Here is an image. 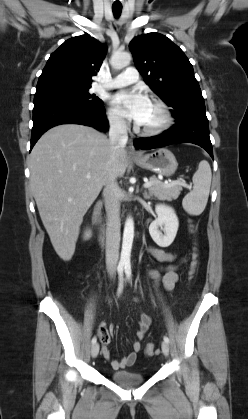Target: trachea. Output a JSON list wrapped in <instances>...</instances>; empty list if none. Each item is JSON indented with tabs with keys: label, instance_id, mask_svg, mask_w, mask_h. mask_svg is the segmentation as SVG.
Instances as JSON below:
<instances>
[{
	"label": "trachea",
	"instance_id": "obj_1",
	"mask_svg": "<svg viewBox=\"0 0 248 419\" xmlns=\"http://www.w3.org/2000/svg\"><path fill=\"white\" fill-rule=\"evenodd\" d=\"M112 12L116 18H118L122 12V6H112Z\"/></svg>",
	"mask_w": 248,
	"mask_h": 419
}]
</instances>
